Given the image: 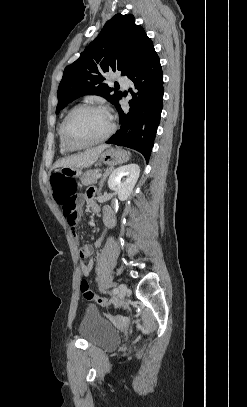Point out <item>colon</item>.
<instances>
[{
  "instance_id": "obj_1",
  "label": "colon",
  "mask_w": 247,
  "mask_h": 407,
  "mask_svg": "<svg viewBox=\"0 0 247 407\" xmlns=\"http://www.w3.org/2000/svg\"><path fill=\"white\" fill-rule=\"evenodd\" d=\"M50 181L53 190V197L59 204L66 202L76 194L77 183L75 180L66 178L63 174H54ZM80 291L84 299L89 302H94L101 306L112 305V302L107 298L95 295L86 279L81 280Z\"/></svg>"
}]
</instances>
